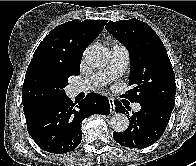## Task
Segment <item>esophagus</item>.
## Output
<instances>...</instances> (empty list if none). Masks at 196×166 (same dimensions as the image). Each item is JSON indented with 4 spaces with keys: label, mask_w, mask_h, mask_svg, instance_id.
<instances>
[{
    "label": "esophagus",
    "mask_w": 196,
    "mask_h": 166,
    "mask_svg": "<svg viewBox=\"0 0 196 166\" xmlns=\"http://www.w3.org/2000/svg\"><path fill=\"white\" fill-rule=\"evenodd\" d=\"M109 103H110V106H111V113L114 114L115 113L114 99L113 98H109Z\"/></svg>",
    "instance_id": "34e87169"
}]
</instances>
